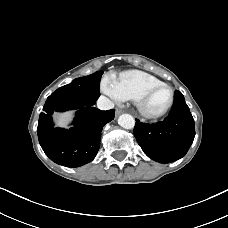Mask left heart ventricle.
I'll return each instance as SVG.
<instances>
[{
	"mask_svg": "<svg viewBox=\"0 0 228 228\" xmlns=\"http://www.w3.org/2000/svg\"><path fill=\"white\" fill-rule=\"evenodd\" d=\"M169 98V90L161 87L150 94L146 101V109L150 112H158L167 105Z\"/></svg>",
	"mask_w": 228,
	"mask_h": 228,
	"instance_id": "left-heart-ventricle-1",
	"label": "left heart ventricle"
}]
</instances>
